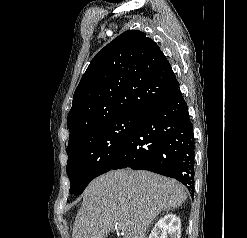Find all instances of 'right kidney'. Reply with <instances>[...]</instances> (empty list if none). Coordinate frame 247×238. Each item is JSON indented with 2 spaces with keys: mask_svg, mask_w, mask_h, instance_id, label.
<instances>
[{
  "mask_svg": "<svg viewBox=\"0 0 247 238\" xmlns=\"http://www.w3.org/2000/svg\"><path fill=\"white\" fill-rule=\"evenodd\" d=\"M180 238L181 221L176 215L169 213L159 219L153 227L149 238Z\"/></svg>",
  "mask_w": 247,
  "mask_h": 238,
  "instance_id": "ca27d5eb",
  "label": "right kidney"
}]
</instances>
